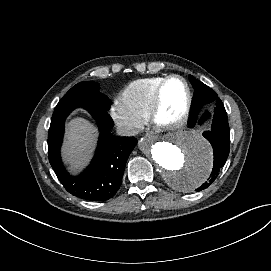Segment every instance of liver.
Here are the masks:
<instances>
[{
    "label": "liver",
    "instance_id": "1",
    "mask_svg": "<svg viewBox=\"0 0 271 271\" xmlns=\"http://www.w3.org/2000/svg\"><path fill=\"white\" fill-rule=\"evenodd\" d=\"M95 137V128L85 120L76 118L70 121L65 155L70 156L74 164H81L93 147Z\"/></svg>",
    "mask_w": 271,
    "mask_h": 271
}]
</instances>
